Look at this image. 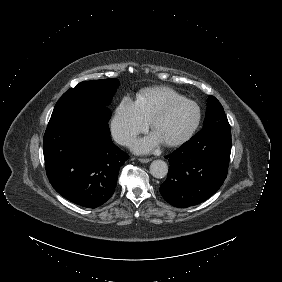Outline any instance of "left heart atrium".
<instances>
[{
    "label": "left heart atrium",
    "mask_w": 282,
    "mask_h": 282,
    "mask_svg": "<svg viewBox=\"0 0 282 282\" xmlns=\"http://www.w3.org/2000/svg\"><path fill=\"white\" fill-rule=\"evenodd\" d=\"M158 135H153L150 139H143L136 144V147L139 149L147 150L149 149L156 141H158Z\"/></svg>",
    "instance_id": "39dd6f15"
}]
</instances>
